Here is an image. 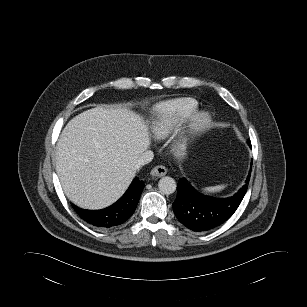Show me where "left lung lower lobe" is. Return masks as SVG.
Instances as JSON below:
<instances>
[{"label": "left lung lower lobe", "instance_id": "1", "mask_svg": "<svg viewBox=\"0 0 307 307\" xmlns=\"http://www.w3.org/2000/svg\"><path fill=\"white\" fill-rule=\"evenodd\" d=\"M251 146V143L248 142ZM251 170L245 185L233 196L214 198L202 195L181 178L177 185V197L173 211L177 219L187 228L196 231H208L222 225L239 207L249 183Z\"/></svg>", "mask_w": 307, "mask_h": 307}]
</instances>
